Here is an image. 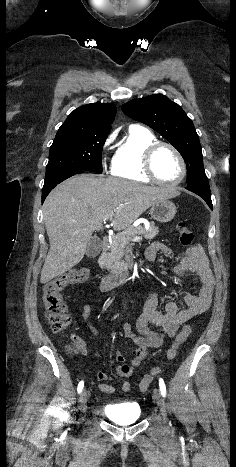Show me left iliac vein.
Here are the masks:
<instances>
[{"label":"left iliac vein","instance_id":"1","mask_svg":"<svg viewBox=\"0 0 236 467\" xmlns=\"http://www.w3.org/2000/svg\"><path fill=\"white\" fill-rule=\"evenodd\" d=\"M154 398L156 400V403L159 407L160 412L166 418V403H165V400L162 394L159 391H156L154 394Z\"/></svg>","mask_w":236,"mask_h":467}]
</instances>
